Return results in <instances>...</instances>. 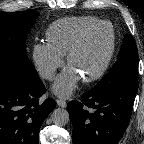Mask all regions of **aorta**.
<instances>
[{
    "label": "aorta",
    "instance_id": "obj_1",
    "mask_svg": "<svg viewBox=\"0 0 144 144\" xmlns=\"http://www.w3.org/2000/svg\"><path fill=\"white\" fill-rule=\"evenodd\" d=\"M52 121L57 126H64L69 122V113L66 109L57 108L52 114Z\"/></svg>",
    "mask_w": 144,
    "mask_h": 144
}]
</instances>
